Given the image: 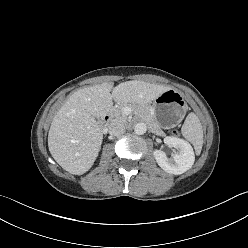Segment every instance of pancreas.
Segmentation results:
<instances>
[{
	"label": "pancreas",
	"instance_id": "obj_1",
	"mask_svg": "<svg viewBox=\"0 0 248 248\" xmlns=\"http://www.w3.org/2000/svg\"><path fill=\"white\" fill-rule=\"evenodd\" d=\"M125 107H131L133 112L137 114L142 120L150 123L153 126V132L158 135H162V130L160 126L155 123L151 117L150 114V107L145 105V106H134L131 104H120L117 105L113 109V117L115 118L116 121L121 122V123H127L128 118L124 114V108Z\"/></svg>",
	"mask_w": 248,
	"mask_h": 248
}]
</instances>
